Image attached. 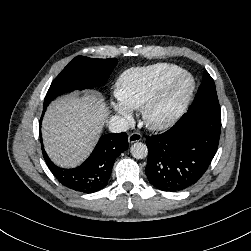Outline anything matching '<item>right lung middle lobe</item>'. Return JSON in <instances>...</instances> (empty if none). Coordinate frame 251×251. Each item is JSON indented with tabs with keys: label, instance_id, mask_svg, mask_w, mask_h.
<instances>
[{
	"label": "right lung middle lobe",
	"instance_id": "1",
	"mask_svg": "<svg viewBox=\"0 0 251 251\" xmlns=\"http://www.w3.org/2000/svg\"><path fill=\"white\" fill-rule=\"evenodd\" d=\"M117 62L116 58L75 57L53 80L44 99V108L61 94L104 84Z\"/></svg>",
	"mask_w": 251,
	"mask_h": 251
}]
</instances>
